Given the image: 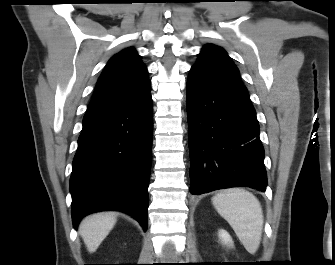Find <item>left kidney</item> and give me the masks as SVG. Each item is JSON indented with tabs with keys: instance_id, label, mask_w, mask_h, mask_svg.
Here are the masks:
<instances>
[{
	"instance_id": "1",
	"label": "left kidney",
	"mask_w": 335,
	"mask_h": 265,
	"mask_svg": "<svg viewBox=\"0 0 335 265\" xmlns=\"http://www.w3.org/2000/svg\"><path fill=\"white\" fill-rule=\"evenodd\" d=\"M218 236L223 244L233 247L232 238L226 230L223 229L219 230Z\"/></svg>"
}]
</instances>
